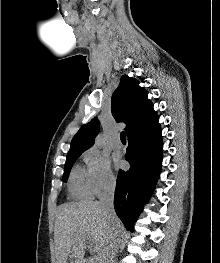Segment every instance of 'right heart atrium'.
<instances>
[{"label":"right heart atrium","mask_w":220,"mask_h":263,"mask_svg":"<svg viewBox=\"0 0 220 263\" xmlns=\"http://www.w3.org/2000/svg\"><path fill=\"white\" fill-rule=\"evenodd\" d=\"M93 193L101 195L115 186L116 178L109 159L96 149H88L83 154Z\"/></svg>","instance_id":"1"}]
</instances>
